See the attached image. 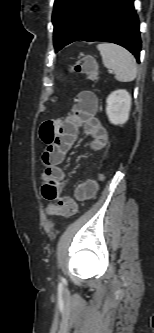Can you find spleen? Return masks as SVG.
<instances>
[{
	"label": "spleen",
	"mask_w": 154,
	"mask_h": 333,
	"mask_svg": "<svg viewBox=\"0 0 154 333\" xmlns=\"http://www.w3.org/2000/svg\"><path fill=\"white\" fill-rule=\"evenodd\" d=\"M105 67L114 70L115 78L120 82H131L137 76V64L134 56L121 46L112 43L98 44Z\"/></svg>",
	"instance_id": "spleen-1"
}]
</instances>
